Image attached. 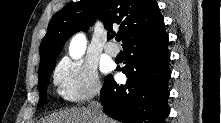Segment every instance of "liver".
I'll use <instances>...</instances> for the list:
<instances>
[{
	"mask_svg": "<svg viewBox=\"0 0 221 123\" xmlns=\"http://www.w3.org/2000/svg\"><path fill=\"white\" fill-rule=\"evenodd\" d=\"M102 121V123H114L104 114ZM43 123H93V120L89 108H78L53 114Z\"/></svg>",
	"mask_w": 221,
	"mask_h": 123,
	"instance_id": "liver-1",
	"label": "liver"
}]
</instances>
